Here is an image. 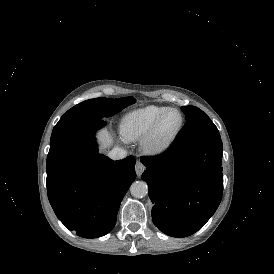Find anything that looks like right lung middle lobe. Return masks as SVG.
Here are the masks:
<instances>
[{
    "mask_svg": "<svg viewBox=\"0 0 274 274\" xmlns=\"http://www.w3.org/2000/svg\"><path fill=\"white\" fill-rule=\"evenodd\" d=\"M133 103H135L133 97L119 99L101 97L77 104L68 110L55 125L50 139V146L91 121L109 117Z\"/></svg>",
    "mask_w": 274,
    "mask_h": 274,
    "instance_id": "1",
    "label": "right lung middle lobe"
}]
</instances>
